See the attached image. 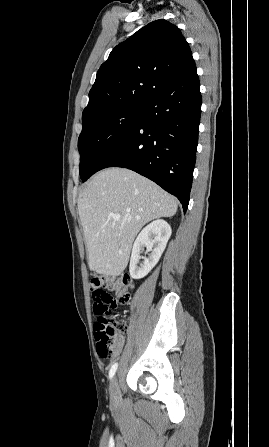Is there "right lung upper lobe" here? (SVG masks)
I'll return each instance as SVG.
<instances>
[{"label": "right lung upper lobe", "instance_id": "cb5924a9", "mask_svg": "<svg viewBox=\"0 0 269 447\" xmlns=\"http://www.w3.org/2000/svg\"><path fill=\"white\" fill-rule=\"evenodd\" d=\"M194 63L180 29L166 20L143 27L117 45L97 72L82 123L124 106L143 103Z\"/></svg>", "mask_w": 269, "mask_h": 447}]
</instances>
